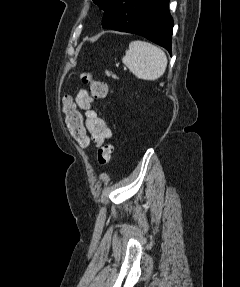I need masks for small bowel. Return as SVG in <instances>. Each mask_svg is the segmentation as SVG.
<instances>
[{
  "label": "small bowel",
  "instance_id": "small-bowel-1",
  "mask_svg": "<svg viewBox=\"0 0 240 287\" xmlns=\"http://www.w3.org/2000/svg\"><path fill=\"white\" fill-rule=\"evenodd\" d=\"M94 98L86 90H80L75 98L77 106L84 114V126L96 145L100 148L104 141L112 138V132L104 119L93 109Z\"/></svg>",
  "mask_w": 240,
  "mask_h": 287
}]
</instances>
